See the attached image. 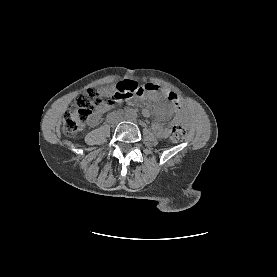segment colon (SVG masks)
<instances>
[{"instance_id": "5ec220e1", "label": "colon", "mask_w": 277, "mask_h": 277, "mask_svg": "<svg viewBox=\"0 0 277 277\" xmlns=\"http://www.w3.org/2000/svg\"><path fill=\"white\" fill-rule=\"evenodd\" d=\"M144 89L133 81L118 83L114 88H90L79 95L67 109L63 119V131L66 135L74 136L87 124L93 113L106 108L116 101L134 97ZM186 131L181 124H174L171 138L175 142L184 140Z\"/></svg>"}]
</instances>
